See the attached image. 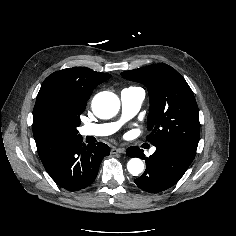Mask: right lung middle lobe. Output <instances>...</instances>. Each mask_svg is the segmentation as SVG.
Here are the masks:
<instances>
[{
  "label": "right lung middle lobe",
  "mask_w": 236,
  "mask_h": 236,
  "mask_svg": "<svg viewBox=\"0 0 236 236\" xmlns=\"http://www.w3.org/2000/svg\"><path fill=\"white\" fill-rule=\"evenodd\" d=\"M82 112H69L54 105L41 107L33 120L35 140L75 136Z\"/></svg>",
  "instance_id": "right-lung-middle-lobe-1"
}]
</instances>
